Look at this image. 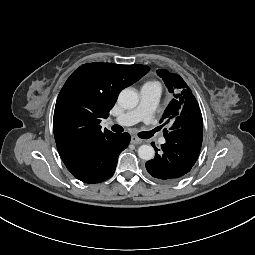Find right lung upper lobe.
<instances>
[{
	"mask_svg": "<svg viewBox=\"0 0 255 255\" xmlns=\"http://www.w3.org/2000/svg\"><path fill=\"white\" fill-rule=\"evenodd\" d=\"M150 70L145 65L88 63L77 68L62 87L53 117L58 152L64 158L115 134L99 125L109 116L119 92Z\"/></svg>",
	"mask_w": 255,
	"mask_h": 255,
	"instance_id": "right-lung-upper-lobe-1",
	"label": "right lung upper lobe"
}]
</instances>
